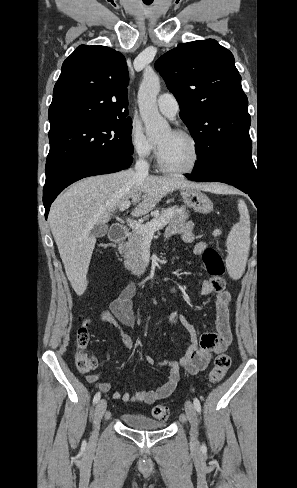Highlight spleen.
<instances>
[{
    "label": "spleen",
    "mask_w": 297,
    "mask_h": 488,
    "mask_svg": "<svg viewBox=\"0 0 297 488\" xmlns=\"http://www.w3.org/2000/svg\"><path fill=\"white\" fill-rule=\"evenodd\" d=\"M238 210L240 220L232 227L226 243L228 251L227 270L234 280L243 275L250 249L249 213L243 200H239Z\"/></svg>",
    "instance_id": "3e777b00"
}]
</instances>
